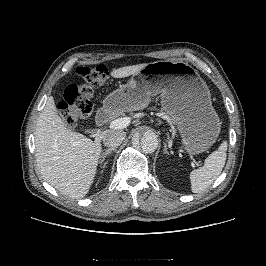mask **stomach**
<instances>
[{"mask_svg": "<svg viewBox=\"0 0 266 266\" xmlns=\"http://www.w3.org/2000/svg\"><path fill=\"white\" fill-rule=\"evenodd\" d=\"M160 94L162 109L172 118L184 150L198 155L209 149L220 133V120L208 86L197 71L183 61L148 63L128 84L104 100L107 111L141 110Z\"/></svg>", "mask_w": 266, "mask_h": 266, "instance_id": "stomach-1", "label": "stomach"}]
</instances>
